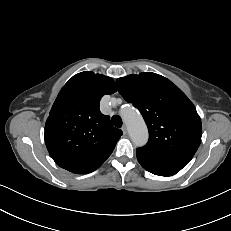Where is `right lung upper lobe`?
<instances>
[{"mask_svg":"<svg viewBox=\"0 0 231 231\" xmlns=\"http://www.w3.org/2000/svg\"><path fill=\"white\" fill-rule=\"evenodd\" d=\"M117 91L110 77L93 72L73 76L59 92L45 125V143L60 167L87 174L110 156L122 131L99 110L102 96Z\"/></svg>","mask_w":231,"mask_h":231,"instance_id":"obj_1","label":"right lung upper lobe"}]
</instances>
